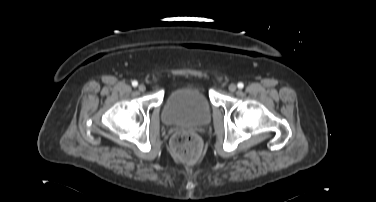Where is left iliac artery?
I'll return each instance as SVG.
<instances>
[{"label":"left iliac artery","mask_w":376,"mask_h":202,"mask_svg":"<svg viewBox=\"0 0 376 202\" xmlns=\"http://www.w3.org/2000/svg\"><path fill=\"white\" fill-rule=\"evenodd\" d=\"M237 86H238L239 89H242V88L244 87V84H243L242 82H239V83L237 84Z\"/></svg>","instance_id":"obj_1"}]
</instances>
